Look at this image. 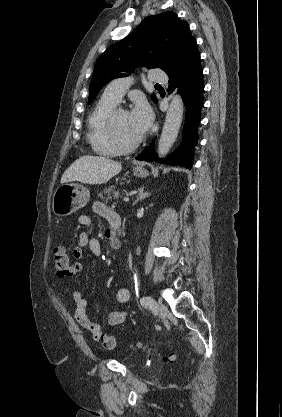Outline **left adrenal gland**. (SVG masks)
<instances>
[{
	"mask_svg": "<svg viewBox=\"0 0 282 417\" xmlns=\"http://www.w3.org/2000/svg\"><path fill=\"white\" fill-rule=\"evenodd\" d=\"M138 190V196L136 200H134L133 204H136L138 200H142V198H145V196H149V194H151V192H144V186H141V188H138Z\"/></svg>",
	"mask_w": 282,
	"mask_h": 417,
	"instance_id": "a2214340",
	"label": "left adrenal gland"
}]
</instances>
